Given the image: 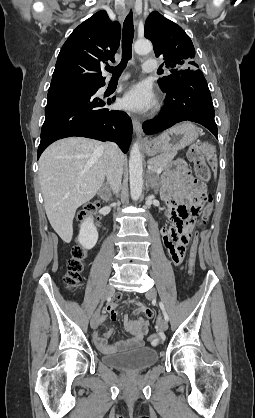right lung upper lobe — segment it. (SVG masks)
Returning a JSON list of instances; mask_svg holds the SVG:
<instances>
[{"label":"right lung upper lobe","mask_w":255,"mask_h":418,"mask_svg":"<svg viewBox=\"0 0 255 418\" xmlns=\"http://www.w3.org/2000/svg\"><path fill=\"white\" fill-rule=\"evenodd\" d=\"M120 37L119 22H112L104 10L81 23L60 50L50 88L103 83L101 67L114 61Z\"/></svg>","instance_id":"obj_1"}]
</instances>
